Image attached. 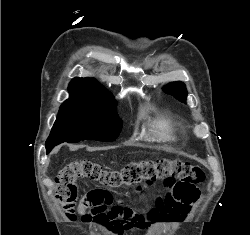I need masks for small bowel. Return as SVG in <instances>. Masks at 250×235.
Here are the masks:
<instances>
[{
	"label": "small bowel",
	"mask_w": 250,
	"mask_h": 235,
	"mask_svg": "<svg viewBox=\"0 0 250 235\" xmlns=\"http://www.w3.org/2000/svg\"><path fill=\"white\" fill-rule=\"evenodd\" d=\"M192 205L184 204L173 197L172 192L156 200L155 206L149 212V221L154 224L178 222L183 220L191 211ZM80 214H84L85 208H78Z\"/></svg>",
	"instance_id": "obj_1"
}]
</instances>
